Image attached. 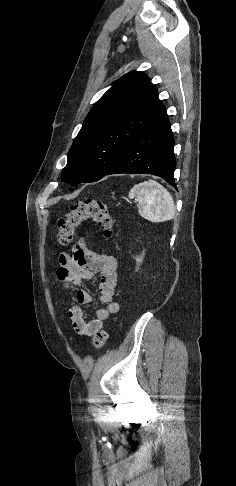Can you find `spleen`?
Here are the masks:
<instances>
[{
    "mask_svg": "<svg viewBox=\"0 0 236 486\" xmlns=\"http://www.w3.org/2000/svg\"><path fill=\"white\" fill-rule=\"evenodd\" d=\"M129 197L139 201V214L151 222L168 221L175 216L173 197L166 188L154 180L134 185Z\"/></svg>",
    "mask_w": 236,
    "mask_h": 486,
    "instance_id": "spleen-1",
    "label": "spleen"
}]
</instances>
